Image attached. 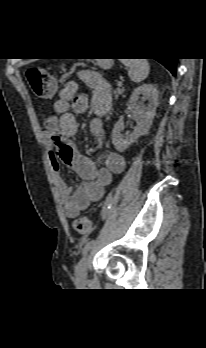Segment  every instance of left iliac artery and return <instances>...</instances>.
<instances>
[{"label": "left iliac artery", "instance_id": "left-iliac-artery-1", "mask_svg": "<svg viewBox=\"0 0 206 348\" xmlns=\"http://www.w3.org/2000/svg\"><path fill=\"white\" fill-rule=\"evenodd\" d=\"M114 193L108 194L106 197V202L103 205V208L101 209V217L102 218H107V215L110 213V209L112 206V199H113ZM94 245V240L86 242L82 254H86Z\"/></svg>", "mask_w": 206, "mask_h": 348}]
</instances>
